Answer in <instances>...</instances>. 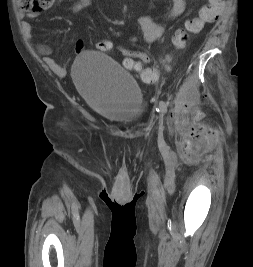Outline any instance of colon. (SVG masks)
Returning a JSON list of instances; mask_svg holds the SVG:
<instances>
[{
  "instance_id": "1",
  "label": "colon",
  "mask_w": 253,
  "mask_h": 267,
  "mask_svg": "<svg viewBox=\"0 0 253 267\" xmlns=\"http://www.w3.org/2000/svg\"><path fill=\"white\" fill-rule=\"evenodd\" d=\"M54 0H17L18 7L23 11L41 12L48 9ZM225 0H208L197 17L187 20L183 29L179 30L174 38V45L177 49L185 47L190 36L198 34L204 26L218 20L224 7ZM97 50L109 53L117 49L125 56L123 65L129 70L141 73V78L145 82H153L158 78V73L152 67L147 66L149 57L141 51L131 50L122 46H115L109 40H100L96 43Z\"/></svg>"
}]
</instances>
